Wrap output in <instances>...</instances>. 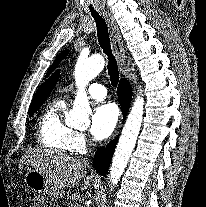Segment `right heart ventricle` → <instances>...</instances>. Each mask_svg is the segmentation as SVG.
I'll use <instances>...</instances> for the list:
<instances>
[{
	"mask_svg": "<svg viewBox=\"0 0 206 207\" xmlns=\"http://www.w3.org/2000/svg\"><path fill=\"white\" fill-rule=\"evenodd\" d=\"M66 104L59 99L54 101L41 115L38 122L37 139L44 148L73 152L74 130L65 122L63 113Z\"/></svg>",
	"mask_w": 206,
	"mask_h": 207,
	"instance_id": "e07e8e85",
	"label": "right heart ventricle"
}]
</instances>
